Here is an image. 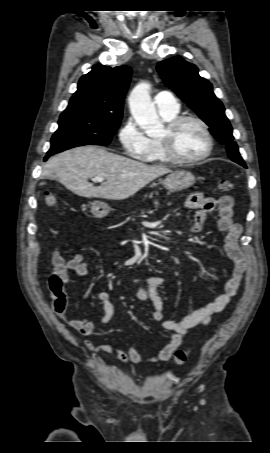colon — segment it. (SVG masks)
<instances>
[{
  "instance_id": "5ec220e1",
  "label": "colon",
  "mask_w": 270,
  "mask_h": 453,
  "mask_svg": "<svg viewBox=\"0 0 270 453\" xmlns=\"http://www.w3.org/2000/svg\"><path fill=\"white\" fill-rule=\"evenodd\" d=\"M218 189L221 192H230L234 189V184L229 180H222L218 184ZM45 203L49 207H56L58 206V199L53 193L47 192L45 193ZM49 289L53 309L59 314L65 313L68 308V296L62 279L55 272L49 278ZM189 355V350H178L175 352L173 360L180 365L186 362Z\"/></svg>"
}]
</instances>
